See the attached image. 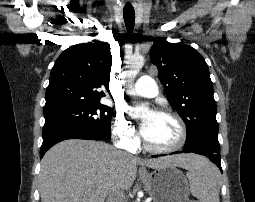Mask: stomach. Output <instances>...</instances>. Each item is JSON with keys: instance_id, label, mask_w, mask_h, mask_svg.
Instances as JSON below:
<instances>
[{"instance_id": "obj_1", "label": "stomach", "mask_w": 255, "mask_h": 202, "mask_svg": "<svg viewBox=\"0 0 255 202\" xmlns=\"http://www.w3.org/2000/svg\"><path fill=\"white\" fill-rule=\"evenodd\" d=\"M146 190L154 202H186L190 188L181 170L175 166L155 169Z\"/></svg>"}]
</instances>
